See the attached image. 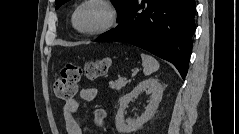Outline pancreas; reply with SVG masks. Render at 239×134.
<instances>
[{"mask_svg":"<svg viewBox=\"0 0 239 134\" xmlns=\"http://www.w3.org/2000/svg\"><path fill=\"white\" fill-rule=\"evenodd\" d=\"M131 82V80H127L126 78H119L115 82L110 81L109 86L111 89L114 90H121L123 87L126 86L127 83Z\"/></svg>","mask_w":239,"mask_h":134,"instance_id":"obj_1","label":"pancreas"}]
</instances>
